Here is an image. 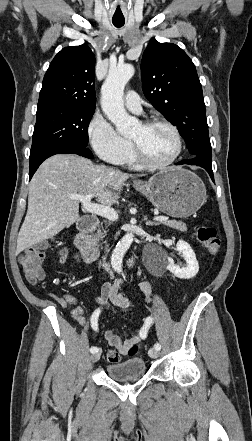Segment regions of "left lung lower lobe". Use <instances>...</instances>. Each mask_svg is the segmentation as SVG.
<instances>
[{
    "label": "left lung lower lobe",
    "mask_w": 252,
    "mask_h": 441,
    "mask_svg": "<svg viewBox=\"0 0 252 441\" xmlns=\"http://www.w3.org/2000/svg\"><path fill=\"white\" fill-rule=\"evenodd\" d=\"M182 164L197 165L205 168L209 173L211 179L214 181L211 158L204 156H195L193 159L181 160L178 163H176V165H182Z\"/></svg>",
    "instance_id": "0a47b994"
}]
</instances>
